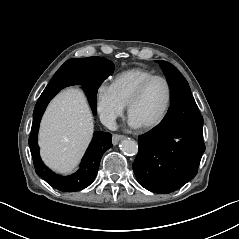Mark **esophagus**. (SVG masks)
Segmentation results:
<instances>
[{
	"label": "esophagus",
	"instance_id": "34e87169",
	"mask_svg": "<svg viewBox=\"0 0 239 239\" xmlns=\"http://www.w3.org/2000/svg\"><path fill=\"white\" fill-rule=\"evenodd\" d=\"M124 138H125L124 135L113 134V137H112V143H113V145H117L118 142H119L121 139H124Z\"/></svg>",
	"mask_w": 239,
	"mask_h": 239
}]
</instances>
